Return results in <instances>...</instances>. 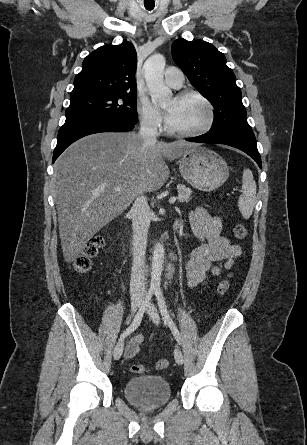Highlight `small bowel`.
<instances>
[{
  "mask_svg": "<svg viewBox=\"0 0 307 445\" xmlns=\"http://www.w3.org/2000/svg\"><path fill=\"white\" fill-rule=\"evenodd\" d=\"M189 221L192 232L199 240V245L193 249L186 266L188 285L195 287L210 274L219 276L223 270L230 269L235 259L242 255V249L221 234V217L209 214L203 207H195L190 212ZM178 227L177 223L175 228ZM143 342L142 335L132 337L126 347L125 357H134Z\"/></svg>",
  "mask_w": 307,
  "mask_h": 445,
  "instance_id": "obj_1",
  "label": "small bowel"
}]
</instances>
